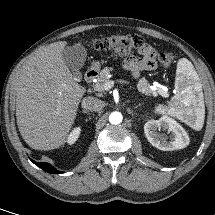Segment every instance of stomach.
I'll use <instances>...</instances> for the list:
<instances>
[{"label": "stomach", "mask_w": 215, "mask_h": 215, "mask_svg": "<svg viewBox=\"0 0 215 215\" xmlns=\"http://www.w3.org/2000/svg\"><path fill=\"white\" fill-rule=\"evenodd\" d=\"M93 66H94V67H98V66H99V63L94 62V63H93Z\"/></svg>", "instance_id": "obj_1"}]
</instances>
